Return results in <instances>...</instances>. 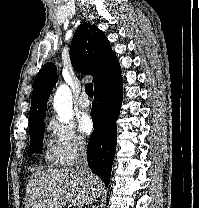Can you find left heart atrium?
<instances>
[{"label":"left heart atrium","mask_w":199,"mask_h":208,"mask_svg":"<svg viewBox=\"0 0 199 208\" xmlns=\"http://www.w3.org/2000/svg\"><path fill=\"white\" fill-rule=\"evenodd\" d=\"M78 129L83 135H90L94 130V123L90 115L83 113L78 118Z\"/></svg>","instance_id":"1"}]
</instances>
